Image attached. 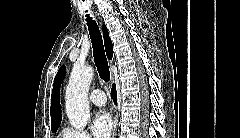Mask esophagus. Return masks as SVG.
Segmentation results:
<instances>
[{"label": "esophagus", "mask_w": 240, "mask_h": 138, "mask_svg": "<svg viewBox=\"0 0 240 138\" xmlns=\"http://www.w3.org/2000/svg\"><path fill=\"white\" fill-rule=\"evenodd\" d=\"M111 80L113 81V74L111 76ZM117 131V116L114 117V124H113V137L116 135Z\"/></svg>", "instance_id": "obj_1"}]
</instances>
